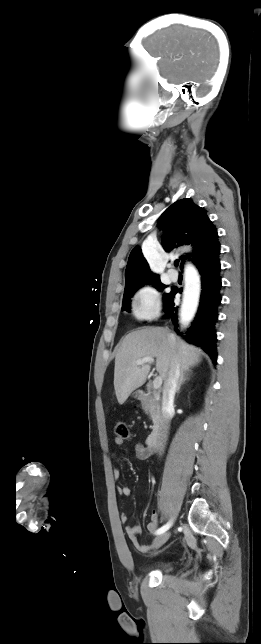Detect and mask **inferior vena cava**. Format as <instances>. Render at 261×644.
<instances>
[{
  "label": "inferior vena cava",
  "instance_id": "1",
  "mask_svg": "<svg viewBox=\"0 0 261 644\" xmlns=\"http://www.w3.org/2000/svg\"><path fill=\"white\" fill-rule=\"evenodd\" d=\"M181 376L180 364L178 357H174L171 362V368L168 373V378L164 382L162 392V422L160 427L159 448L162 449L167 441L168 431L170 426V419L168 417L169 411L173 409L174 397L176 388Z\"/></svg>",
  "mask_w": 261,
  "mask_h": 644
}]
</instances>
